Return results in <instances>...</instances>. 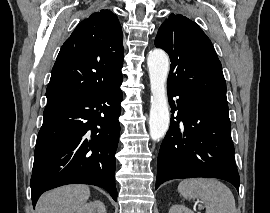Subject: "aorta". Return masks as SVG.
Segmentation results:
<instances>
[{
    "mask_svg": "<svg viewBox=\"0 0 270 213\" xmlns=\"http://www.w3.org/2000/svg\"><path fill=\"white\" fill-rule=\"evenodd\" d=\"M151 87L149 132L152 140L159 141L169 128V109L166 95V79L169 58L161 49H154L147 58Z\"/></svg>",
    "mask_w": 270,
    "mask_h": 213,
    "instance_id": "762f6f07",
    "label": "aorta"
}]
</instances>
